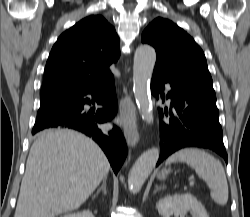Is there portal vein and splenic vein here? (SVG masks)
Wrapping results in <instances>:
<instances>
[{
    "label": "portal vein and splenic vein",
    "mask_w": 250,
    "mask_h": 217,
    "mask_svg": "<svg viewBox=\"0 0 250 217\" xmlns=\"http://www.w3.org/2000/svg\"><path fill=\"white\" fill-rule=\"evenodd\" d=\"M190 185L193 186V185H194V182H193V181H190Z\"/></svg>",
    "instance_id": "18ae733b"
}]
</instances>
